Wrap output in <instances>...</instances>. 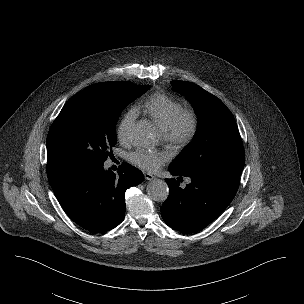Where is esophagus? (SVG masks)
<instances>
[{
    "label": "esophagus",
    "instance_id": "obj_1",
    "mask_svg": "<svg viewBox=\"0 0 304 304\" xmlns=\"http://www.w3.org/2000/svg\"><path fill=\"white\" fill-rule=\"evenodd\" d=\"M144 177L146 180H154L156 177L150 173H144Z\"/></svg>",
    "mask_w": 304,
    "mask_h": 304
}]
</instances>
